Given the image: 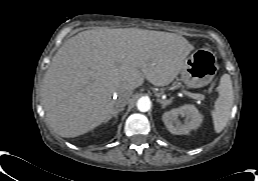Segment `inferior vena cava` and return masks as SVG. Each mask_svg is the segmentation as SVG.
Instances as JSON below:
<instances>
[{"instance_id": "obj_1", "label": "inferior vena cava", "mask_w": 258, "mask_h": 181, "mask_svg": "<svg viewBox=\"0 0 258 181\" xmlns=\"http://www.w3.org/2000/svg\"><path fill=\"white\" fill-rule=\"evenodd\" d=\"M130 93H125V94H123L122 96H120L117 100H116V102H115V104H116V107L117 108H123L126 104H127V101H128V99H129V97H130Z\"/></svg>"}]
</instances>
